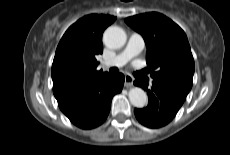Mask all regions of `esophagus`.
I'll use <instances>...</instances> for the list:
<instances>
[{"label":"esophagus","mask_w":230,"mask_h":155,"mask_svg":"<svg viewBox=\"0 0 230 155\" xmlns=\"http://www.w3.org/2000/svg\"><path fill=\"white\" fill-rule=\"evenodd\" d=\"M133 81H134V79H133L132 76H130V75H125V82H124L125 87L128 88V87L133 86Z\"/></svg>","instance_id":"esophagus-1"}]
</instances>
